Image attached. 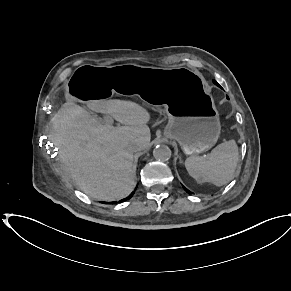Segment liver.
I'll return each instance as SVG.
<instances>
[{
  "mask_svg": "<svg viewBox=\"0 0 291 291\" xmlns=\"http://www.w3.org/2000/svg\"><path fill=\"white\" fill-rule=\"evenodd\" d=\"M86 105L124 126L103 124L73 101L63 104L53 118L52 137L63 170L92 198L122 199L135 186L134 156L129 147L135 144L138 151L148 147L150 114L135 102L118 99L92 100Z\"/></svg>",
  "mask_w": 291,
  "mask_h": 291,
  "instance_id": "obj_1",
  "label": "liver"
}]
</instances>
